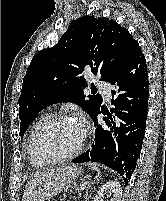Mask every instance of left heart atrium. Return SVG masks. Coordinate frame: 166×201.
I'll return each mask as SVG.
<instances>
[{
  "instance_id": "left-heart-atrium-1",
  "label": "left heart atrium",
  "mask_w": 166,
  "mask_h": 201,
  "mask_svg": "<svg viewBox=\"0 0 166 201\" xmlns=\"http://www.w3.org/2000/svg\"><path fill=\"white\" fill-rule=\"evenodd\" d=\"M78 126L81 128V130L83 131V133H85L86 131V126H87V123L85 121V119L83 117H80L77 122Z\"/></svg>"
}]
</instances>
